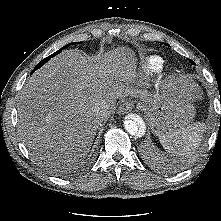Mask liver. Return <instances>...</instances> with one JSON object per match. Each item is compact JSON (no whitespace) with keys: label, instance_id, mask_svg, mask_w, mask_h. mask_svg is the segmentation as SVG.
I'll use <instances>...</instances> for the list:
<instances>
[{"label":"liver","instance_id":"6515ba94","mask_svg":"<svg viewBox=\"0 0 221 221\" xmlns=\"http://www.w3.org/2000/svg\"><path fill=\"white\" fill-rule=\"evenodd\" d=\"M135 64L134 52L126 47L95 60L67 50L33 74L18 108L20 135L31 155L66 166L84 161L116 100L140 92L134 86ZM183 88L188 97L199 92L192 86Z\"/></svg>","mask_w":221,"mask_h":221}]
</instances>
